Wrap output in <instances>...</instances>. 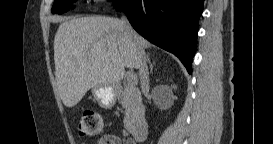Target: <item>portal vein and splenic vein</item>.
I'll return each mask as SVG.
<instances>
[{
    "label": "portal vein and splenic vein",
    "mask_w": 273,
    "mask_h": 144,
    "mask_svg": "<svg viewBox=\"0 0 273 144\" xmlns=\"http://www.w3.org/2000/svg\"><path fill=\"white\" fill-rule=\"evenodd\" d=\"M137 84V77L135 74H129L127 77V86L128 87H133Z\"/></svg>",
    "instance_id": "portal-vein-and-splenic-vein-1"
}]
</instances>
